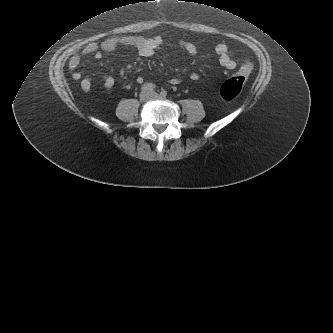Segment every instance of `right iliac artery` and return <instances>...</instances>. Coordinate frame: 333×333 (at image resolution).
<instances>
[{"instance_id":"right-iliac-artery-1","label":"right iliac artery","mask_w":333,"mask_h":333,"mask_svg":"<svg viewBox=\"0 0 333 333\" xmlns=\"http://www.w3.org/2000/svg\"><path fill=\"white\" fill-rule=\"evenodd\" d=\"M155 88V85L152 84V83H148V84H144L142 87H141V90L142 91H153Z\"/></svg>"}]
</instances>
